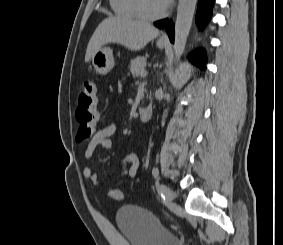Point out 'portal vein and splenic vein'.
<instances>
[{"label": "portal vein and splenic vein", "mask_w": 283, "mask_h": 245, "mask_svg": "<svg viewBox=\"0 0 283 245\" xmlns=\"http://www.w3.org/2000/svg\"><path fill=\"white\" fill-rule=\"evenodd\" d=\"M147 74H148L147 71H143V72H141L140 76H141V77H145Z\"/></svg>", "instance_id": "obj_1"}]
</instances>
